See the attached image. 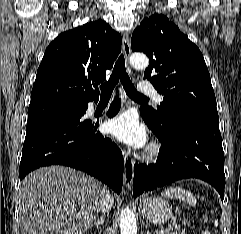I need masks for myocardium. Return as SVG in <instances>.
<instances>
[{"label":"myocardium","instance_id":"1","mask_svg":"<svg viewBox=\"0 0 241 234\" xmlns=\"http://www.w3.org/2000/svg\"><path fill=\"white\" fill-rule=\"evenodd\" d=\"M161 154V146L157 142L151 143L144 151L142 158L147 161H153L157 159Z\"/></svg>","mask_w":241,"mask_h":234}]
</instances>
